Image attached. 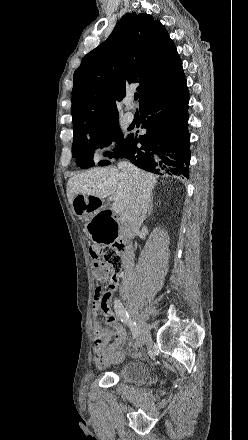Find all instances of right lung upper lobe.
<instances>
[{"mask_svg":"<svg viewBox=\"0 0 248 440\" xmlns=\"http://www.w3.org/2000/svg\"><path fill=\"white\" fill-rule=\"evenodd\" d=\"M184 79L168 32L148 14L127 13L76 69L71 113L74 135L118 122L116 103L139 83L140 104Z\"/></svg>","mask_w":248,"mask_h":440,"instance_id":"1","label":"right lung upper lobe"}]
</instances>
